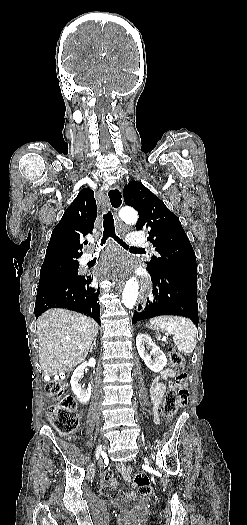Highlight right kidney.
I'll use <instances>...</instances> for the list:
<instances>
[{"label":"right kidney","instance_id":"right-kidney-1","mask_svg":"<svg viewBox=\"0 0 247 525\" xmlns=\"http://www.w3.org/2000/svg\"><path fill=\"white\" fill-rule=\"evenodd\" d=\"M96 361L95 359H88V361H85V363H82V365H79L77 369H75L71 379H70V385L72 387V391L74 395H76L78 401L82 403V405H87L89 403V399L91 397V385H88L87 389H84V385H81V379H83L84 375V369L86 367H95Z\"/></svg>","mask_w":247,"mask_h":525}]
</instances>
